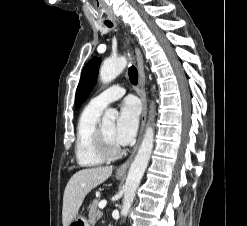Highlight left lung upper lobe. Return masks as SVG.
<instances>
[{"label":"left lung upper lobe","instance_id":"obj_1","mask_svg":"<svg viewBox=\"0 0 247 226\" xmlns=\"http://www.w3.org/2000/svg\"><path fill=\"white\" fill-rule=\"evenodd\" d=\"M100 63L101 59L94 57L84 67L76 90L75 108L80 107L93 89L96 83Z\"/></svg>","mask_w":247,"mask_h":226}]
</instances>
